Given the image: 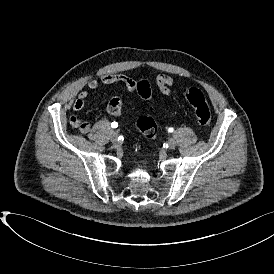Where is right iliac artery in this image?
Here are the masks:
<instances>
[{"label":"right iliac artery","instance_id":"right-iliac-artery-1","mask_svg":"<svg viewBox=\"0 0 274 274\" xmlns=\"http://www.w3.org/2000/svg\"><path fill=\"white\" fill-rule=\"evenodd\" d=\"M111 127L114 128V129L117 128V127H118V123H117V122H112V123H111ZM119 140H120V141L123 140V137H122V136H119V137H118V141H119Z\"/></svg>","mask_w":274,"mask_h":274}]
</instances>
